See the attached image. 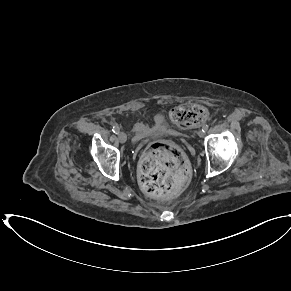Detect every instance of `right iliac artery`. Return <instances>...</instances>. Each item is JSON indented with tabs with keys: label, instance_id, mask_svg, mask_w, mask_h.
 Instances as JSON below:
<instances>
[{
	"label": "right iliac artery",
	"instance_id": "82829eb1",
	"mask_svg": "<svg viewBox=\"0 0 291 291\" xmlns=\"http://www.w3.org/2000/svg\"><path fill=\"white\" fill-rule=\"evenodd\" d=\"M112 131H113L115 134H118V133L120 132V128H119V126H118V125H114Z\"/></svg>",
	"mask_w": 291,
	"mask_h": 291
}]
</instances>
